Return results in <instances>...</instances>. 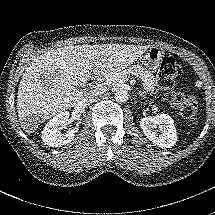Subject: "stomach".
<instances>
[{
    "label": "stomach",
    "mask_w": 215,
    "mask_h": 215,
    "mask_svg": "<svg viewBox=\"0 0 215 215\" xmlns=\"http://www.w3.org/2000/svg\"><path fill=\"white\" fill-rule=\"evenodd\" d=\"M165 57V52L161 47L150 46L141 56L142 64L150 71H156Z\"/></svg>",
    "instance_id": "stomach-1"
}]
</instances>
